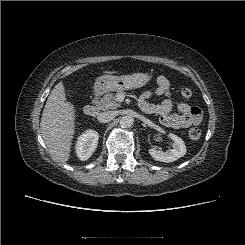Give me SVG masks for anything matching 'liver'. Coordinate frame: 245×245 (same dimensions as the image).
<instances>
[{
  "label": "liver",
  "mask_w": 245,
  "mask_h": 245,
  "mask_svg": "<svg viewBox=\"0 0 245 245\" xmlns=\"http://www.w3.org/2000/svg\"><path fill=\"white\" fill-rule=\"evenodd\" d=\"M75 114V107L66 101L64 85L59 82L47 99L40 123L41 135L56 162L65 163L70 158L75 134Z\"/></svg>",
  "instance_id": "liver-1"
}]
</instances>
